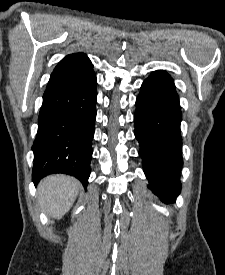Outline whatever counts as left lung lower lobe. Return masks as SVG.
Masks as SVG:
<instances>
[{
  "instance_id": "left-lung-lower-lobe-1",
  "label": "left lung lower lobe",
  "mask_w": 225,
  "mask_h": 275,
  "mask_svg": "<svg viewBox=\"0 0 225 275\" xmlns=\"http://www.w3.org/2000/svg\"><path fill=\"white\" fill-rule=\"evenodd\" d=\"M134 121L148 187L164 203H174L181 191L182 113L174 81L165 71H154L143 82Z\"/></svg>"
}]
</instances>
